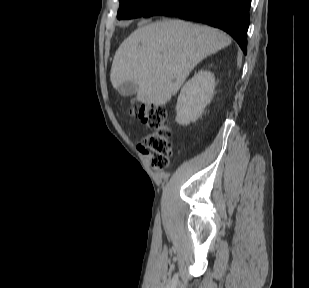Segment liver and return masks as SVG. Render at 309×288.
<instances>
[{"mask_svg": "<svg viewBox=\"0 0 309 288\" xmlns=\"http://www.w3.org/2000/svg\"><path fill=\"white\" fill-rule=\"evenodd\" d=\"M231 44L222 31L182 20H163L132 32L115 53L110 80L137 86V100L165 105L203 59Z\"/></svg>", "mask_w": 309, "mask_h": 288, "instance_id": "liver-1", "label": "liver"}]
</instances>
